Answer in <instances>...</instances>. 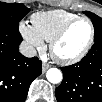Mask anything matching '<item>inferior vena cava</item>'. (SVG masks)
I'll return each mask as SVG.
<instances>
[{
  "mask_svg": "<svg viewBox=\"0 0 102 102\" xmlns=\"http://www.w3.org/2000/svg\"><path fill=\"white\" fill-rule=\"evenodd\" d=\"M20 53L25 57L31 58L37 55L36 49L27 42H22L19 46Z\"/></svg>",
  "mask_w": 102,
  "mask_h": 102,
  "instance_id": "1",
  "label": "inferior vena cava"
}]
</instances>
